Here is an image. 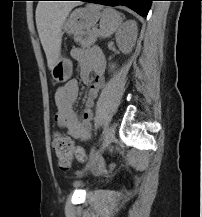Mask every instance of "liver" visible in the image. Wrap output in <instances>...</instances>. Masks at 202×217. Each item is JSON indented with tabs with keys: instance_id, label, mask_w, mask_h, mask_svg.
Listing matches in <instances>:
<instances>
[{
	"instance_id": "obj_1",
	"label": "liver",
	"mask_w": 202,
	"mask_h": 217,
	"mask_svg": "<svg viewBox=\"0 0 202 217\" xmlns=\"http://www.w3.org/2000/svg\"><path fill=\"white\" fill-rule=\"evenodd\" d=\"M76 5V3L57 2H42L37 5L36 25L50 70L60 55L62 26Z\"/></svg>"
}]
</instances>
